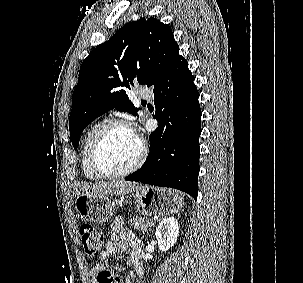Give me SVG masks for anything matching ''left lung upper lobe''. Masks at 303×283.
I'll list each match as a JSON object with an SVG mask.
<instances>
[{"instance_id":"5c2ea615","label":"left lung upper lobe","mask_w":303,"mask_h":283,"mask_svg":"<svg viewBox=\"0 0 303 283\" xmlns=\"http://www.w3.org/2000/svg\"><path fill=\"white\" fill-rule=\"evenodd\" d=\"M178 53L171 28L155 18L128 23L97 46L83 61L72 95L69 129L74 148L84 128L107 111L136 115L126 90L135 83L154 86Z\"/></svg>"}]
</instances>
